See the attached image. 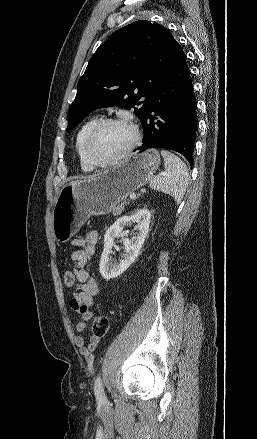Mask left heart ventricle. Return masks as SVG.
Returning a JSON list of instances; mask_svg holds the SVG:
<instances>
[{
	"instance_id": "obj_1",
	"label": "left heart ventricle",
	"mask_w": 257,
	"mask_h": 439,
	"mask_svg": "<svg viewBox=\"0 0 257 439\" xmlns=\"http://www.w3.org/2000/svg\"><path fill=\"white\" fill-rule=\"evenodd\" d=\"M132 130L124 125H108L94 139L91 151L98 161H108L120 154L132 141Z\"/></svg>"
}]
</instances>
